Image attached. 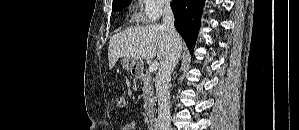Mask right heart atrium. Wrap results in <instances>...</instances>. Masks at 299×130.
Masks as SVG:
<instances>
[{
  "label": "right heart atrium",
  "mask_w": 299,
  "mask_h": 130,
  "mask_svg": "<svg viewBox=\"0 0 299 130\" xmlns=\"http://www.w3.org/2000/svg\"><path fill=\"white\" fill-rule=\"evenodd\" d=\"M141 18L145 22H154L169 7L167 0H143Z\"/></svg>",
  "instance_id": "right-heart-atrium-1"
}]
</instances>
